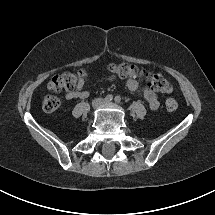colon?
<instances>
[{
  "label": "colon",
  "instance_id": "1",
  "mask_svg": "<svg viewBox=\"0 0 215 215\" xmlns=\"http://www.w3.org/2000/svg\"><path fill=\"white\" fill-rule=\"evenodd\" d=\"M109 70L121 78L144 79L151 89L158 92L167 93L172 90L170 82L161 75L147 72L130 63L111 64ZM81 75L82 72L56 75L47 83V89L51 92L73 90L76 88ZM60 104L59 98L47 95L43 99L42 107L46 112H53L60 107ZM165 107L169 111H174L178 108V102L176 99L169 97L165 100Z\"/></svg>",
  "mask_w": 215,
  "mask_h": 215
}]
</instances>
